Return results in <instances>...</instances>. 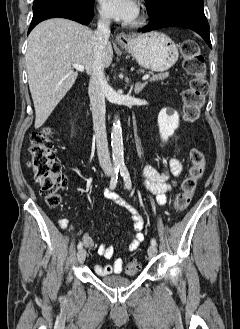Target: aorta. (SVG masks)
<instances>
[{"mask_svg": "<svg viewBox=\"0 0 240 329\" xmlns=\"http://www.w3.org/2000/svg\"><path fill=\"white\" fill-rule=\"evenodd\" d=\"M111 146L113 163L116 166H122L124 164V147L122 139V127L118 117H115L112 133H111Z\"/></svg>", "mask_w": 240, "mask_h": 329, "instance_id": "1", "label": "aorta"}]
</instances>
